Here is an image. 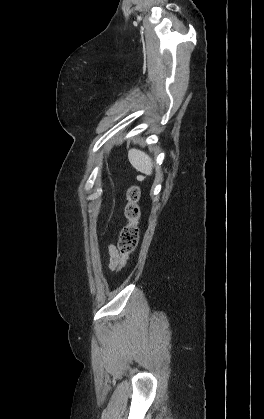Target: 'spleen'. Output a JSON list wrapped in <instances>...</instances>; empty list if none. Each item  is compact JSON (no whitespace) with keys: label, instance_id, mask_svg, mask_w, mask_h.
Listing matches in <instances>:
<instances>
[{"label":"spleen","instance_id":"1","mask_svg":"<svg viewBox=\"0 0 264 419\" xmlns=\"http://www.w3.org/2000/svg\"><path fill=\"white\" fill-rule=\"evenodd\" d=\"M128 159L137 171L146 175L152 174L153 163L146 153L137 149H130L128 152Z\"/></svg>","mask_w":264,"mask_h":419}]
</instances>
